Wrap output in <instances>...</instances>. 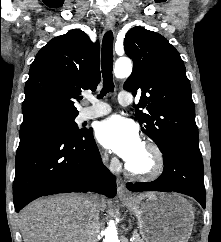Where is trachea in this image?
<instances>
[{
	"instance_id": "1",
	"label": "trachea",
	"mask_w": 221,
	"mask_h": 242,
	"mask_svg": "<svg viewBox=\"0 0 221 242\" xmlns=\"http://www.w3.org/2000/svg\"><path fill=\"white\" fill-rule=\"evenodd\" d=\"M103 88L98 98L101 99L109 92L114 91L113 84V33L107 31L104 34L101 51Z\"/></svg>"
}]
</instances>
